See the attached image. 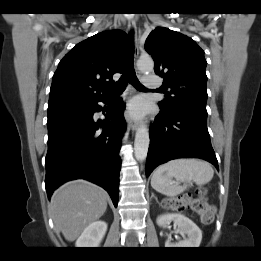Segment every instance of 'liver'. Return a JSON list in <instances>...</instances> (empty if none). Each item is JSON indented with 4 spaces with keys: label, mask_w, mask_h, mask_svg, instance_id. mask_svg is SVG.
<instances>
[{
    "label": "liver",
    "mask_w": 261,
    "mask_h": 261,
    "mask_svg": "<svg viewBox=\"0 0 261 261\" xmlns=\"http://www.w3.org/2000/svg\"><path fill=\"white\" fill-rule=\"evenodd\" d=\"M107 192L84 180L61 186L51 198V212L56 227L67 241H74L107 209Z\"/></svg>",
    "instance_id": "1"
}]
</instances>
